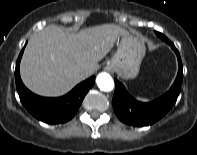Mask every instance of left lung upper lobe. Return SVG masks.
I'll return each instance as SVG.
<instances>
[{
    "instance_id": "left-lung-upper-lobe-1",
    "label": "left lung upper lobe",
    "mask_w": 197,
    "mask_h": 155,
    "mask_svg": "<svg viewBox=\"0 0 197 155\" xmlns=\"http://www.w3.org/2000/svg\"><path fill=\"white\" fill-rule=\"evenodd\" d=\"M156 34L164 41H166V37L164 35H162L161 33L159 32H156Z\"/></svg>"
}]
</instances>
